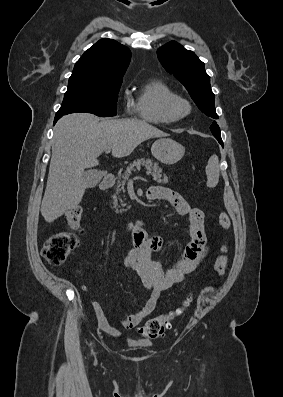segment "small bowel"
Instances as JSON below:
<instances>
[{
  "label": "small bowel",
  "instance_id": "small-bowel-1",
  "mask_svg": "<svg viewBox=\"0 0 283 397\" xmlns=\"http://www.w3.org/2000/svg\"><path fill=\"white\" fill-rule=\"evenodd\" d=\"M147 198L168 204L179 215H188L191 240L182 249L177 261L165 267L156 258L157 254L164 251L163 239L149 235L142 228L132 232L134 248L125 256L123 266L139 276L144 288L148 291V298L140 310L119 320V326L125 330L133 329L151 314L161 292L182 282L187 275L193 273L212 247V237L205 227L203 212L191 207L178 192L167 187L152 186L147 191ZM92 308L98 327L103 332L114 337L121 335V331L110 324L99 304L93 303Z\"/></svg>",
  "mask_w": 283,
  "mask_h": 397
}]
</instances>
